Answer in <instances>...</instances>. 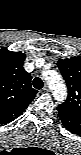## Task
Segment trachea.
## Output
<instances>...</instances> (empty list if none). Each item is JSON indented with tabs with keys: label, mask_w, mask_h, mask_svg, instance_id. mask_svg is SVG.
I'll list each match as a JSON object with an SVG mask.
<instances>
[{
	"label": "trachea",
	"mask_w": 81,
	"mask_h": 155,
	"mask_svg": "<svg viewBox=\"0 0 81 155\" xmlns=\"http://www.w3.org/2000/svg\"><path fill=\"white\" fill-rule=\"evenodd\" d=\"M32 84H33V87L36 88V89H41L44 86L43 81L39 77L34 78Z\"/></svg>",
	"instance_id": "3493384b"
}]
</instances>
